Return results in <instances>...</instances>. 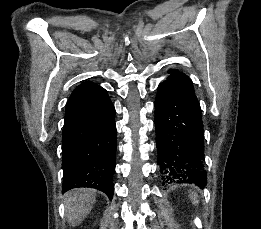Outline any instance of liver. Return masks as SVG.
<instances>
[{
  "label": "liver",
  "mask_w": 261,
  "mask_h": 229,
  "mask_svg": "<svg viewBox=\"0 0 261 229\" xmlns=\"http://www.w3.org/2000/svg\"><path fill=\"white\" fill-rule=\"evenodd\" d=\"M97 193L94 189H73L65 195V211L68 223L75 227L89 215L96 201Z\"/></svg>",
  "instance_id": "obj_1"
}]
</instances>
